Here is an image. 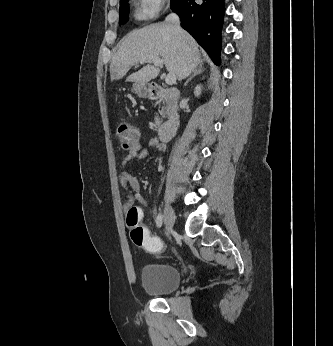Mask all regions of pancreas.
Here are the masks:
<instances>
[{
  "mask_svg": "<svg viewBox=\"0 0 333 346\" xmlns=\"http://www.w3.org/2000/svg\"><path fill=\"white\" fill-rule=\"evenodd\" d=\"M160 114H161L163 117L165 116V114H166V107H162V108H161ZM160 125H161V121H160V119H159V116L156 115V116H155L154 127H155L156 129H158Z\"/></svg>",
  "mask_w": 333,
  "mask_h": 346,
  "instance_id": "obj_1",
  "label": "pancreas"
}]
</instances>
